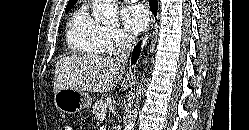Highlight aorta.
<instances>
[{
    "label": "aorta",
    "mask_w": 249,
    "mask_h": 130,
    "mask_svg": "<svg viewBox=\"0 0 249 130\" xmlns=\"http://www.w3.org/2000/svg\"><path fill=\"white\" fill-rule=\"evenodd\" d=\"M117 2L116 0H96L93 6V13L98 21L103 23H112L117 20ZM142 82H145L144 74L142 76ZM137 88L135 108L132 111L133 115L130 117L128 124L125 126V130H134L136 117L138 114L137 108L139 107V101L143 94V84Z\"/></svg>",
    "instance_id": "1"
}]
</instances>
